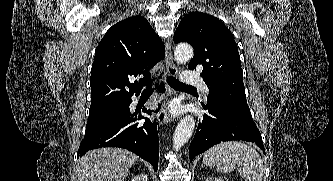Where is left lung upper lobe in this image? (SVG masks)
Returning <instances> with one entry per match:
<instances>
[{"label":"left lung upper lobe","instance_id":"5c2ea615","mask_svg":"<svg viewBox=\"0 0 333 181\" xmlns=\"http://www.w3.org/2000/svg\"><path fill=\"white\" fill-rule=\"evenodd\" d=\"M174 42H188L194 57L188 68L203 66L201 76L209 88L207 99L239 110L250 111L246 102L243 72L232 33L218 18L191 12L180 22Z\"/></svg>","mask_w":333,"mask_h":181}]
</instances>
